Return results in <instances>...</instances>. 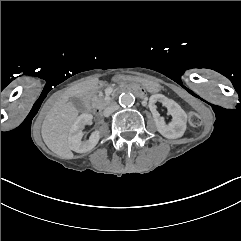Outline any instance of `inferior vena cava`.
Instances as JSON below:
<instances>
[{"instance_id":"602c4592","label":"inferior vena cava","mask_w":241,"mask_h":241,"mask_svg":"<svg viewBox=\"0 0 241 241\" xmlns=\"http://www.w3.org/2000/svg\"><path fill=\"white\" fill-rule=\"evenodd\" d=\"M118 109H119V106L117 104H111L103 110V115L108 117L110 116V114L117 111Z\"/></svg>"}]
</instances>
